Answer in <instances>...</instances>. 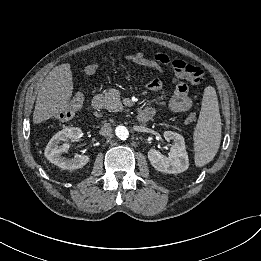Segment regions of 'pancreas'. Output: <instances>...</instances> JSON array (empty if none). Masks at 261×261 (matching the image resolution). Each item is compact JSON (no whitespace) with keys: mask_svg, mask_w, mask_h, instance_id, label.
Masks as SVG:
<instances>
[{"mask_svg":"<svg viewBox=\"0 0 261 261\" xmlns=\"http://www.w3.org/2000/svg\"><path fill=\"white\" fill-rule=\"evenodd\" d=\"M105 108L110 112H118L124 110V106L120 99L119 90L108 89L105 92Z\"/></svg>","mask_w":261,"mask_h":261,"instance_id":"pancreas-1","label":"pancreas"}]
</instances>
